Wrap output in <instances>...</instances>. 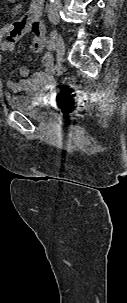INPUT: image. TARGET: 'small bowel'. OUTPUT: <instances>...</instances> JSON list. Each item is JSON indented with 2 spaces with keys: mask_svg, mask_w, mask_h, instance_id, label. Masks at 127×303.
Segmentation results:
<instances>
[{
  "mask_svg": "<svg viewBox=\"0 0 127 303\" xmlns=\"http://www.w3.org/2000/svg\"><path fill=\"white\" fill-rule=\"evenodd\" d=\"M14 3L17 0H7ZM18 6L15 11H18ZM43 10L42 0H30L29 6L25 14L18 20L5 24L0 27V63L2 61V52L13 51L15 42L24 34L31 32L32 50L41 52L45 49L47 41L45 38V26L41 20ZM42 63L44 71L35 72L30 76L26 66H21L19 74L21 79L16 81L8 79L6 86L13 92L34 91L39 85H51L55 72L54 59L51 52L46 51L42 55Z\"/></svg>",
  "mask_w": 127,
  "mask_h": 303,
  "instance_id": "c3829d8e",
  "label": "small bowel"
}]
</instances>
